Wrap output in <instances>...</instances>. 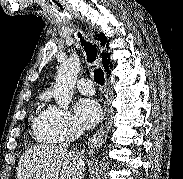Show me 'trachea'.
Wrapping results in <instances>:
<instances>
[{
    "label": "trachea",
    "instance_id": "obj_1",
    "mask_svg": "<svg viewBox=\"0 0 183 179\" xmlns=\"http://www.w3.org/2000/svg\"><path fill=\"white\" fill-rule=\"evenodd\" d=\"M78 37L80 38V41L84 46L88 62L91 64L94 63L97 57L96 46L82 38V35L80 33H78ZM94 80L96 83L104 85V72L100 67L94 70Z\"/></svg>",
    "mask_w": 183,
    "mask_h": 179
}]
</instances>
